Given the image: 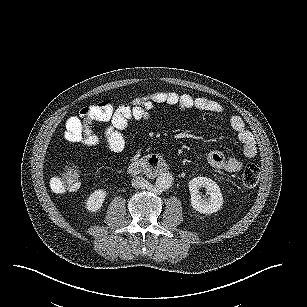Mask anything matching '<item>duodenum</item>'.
Returning <instances> with one entry per match:
<instances>
[{
    "label": "duodenum",
    "instance_id": "obj_1",
    "mask_svg": "<svg viewBox=\"0 0 307 307\" xmlns=\"http://www.w3.org/2000/svg\"><path fill=\"white\" fill-rule=\"evenodd\" d=\"M168 168L167 163L161 157L150 155L133 160L128 165V172L133 176H145L154 178Z\"/></svg>",
    "mask_w": 307,
    "mask_h": 307
}]
</instances>
